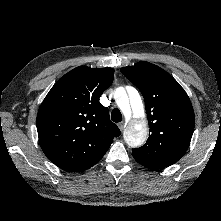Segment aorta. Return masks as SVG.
<instances>
[{
	"mask_svg": "<svg viewBox=\"0 0 221 221\" xmlns=\"http://www.w3.org/2000/svg\"><path fill=\"white\" fill-rule=\"evenodd\" d=\"M117 94L116 102L122 112L130 115L132 110L135 116L124 133V139L129 146L138 147L146 141L148 134L142 99L135 88H131L129 94L124 88H118Z\"/></svg>",
	"mask_w": 221,
	"mask_h": 221,
	"instance_id": "762f6f07",
	"label": "aorta"
}]
</instances>
